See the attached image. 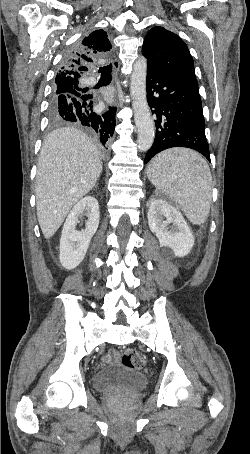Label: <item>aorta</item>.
<instances>
[{
	"label": "aorta",
	"mask_w": 250,
	"mask_h": 454,
	"mask_svg": "<svg viewBox=\"0 0 250 454\" xmlns=\"http://www.w3.org/2000/svg\"><path fill=\"white\" fill-rule=\"evenodd\" d=\"M147 60L140 57L134 64L130 78V92L134 121L138 131V149L147 151L154 142L155 125L151 117L146 93Z\"/></svg>",
	"instance_id": "1"
}]
</instances>
